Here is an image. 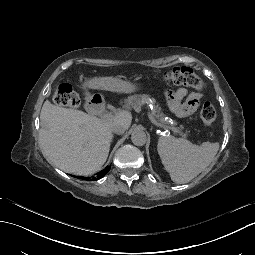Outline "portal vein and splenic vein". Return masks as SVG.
I'll use <instances>...</instances> for the list:
<instances>
[{
    "label": "portal vein and splenic vein",
    "instance_id": "1",
    "mask_svg": "<svg viewBox=\"0 0 255 255\" xmlns=\"http://www.w3.org/2000/svg\"><path fill=\"white\" fill-rule=\"evenodd\" d=\"M125 114V111L123 109H114L112 111H108L103 113L102 115H97V120H106L110 118H114L116 116H123ZM151 119V124H155V127H158V130H168L169 132H174L175 134H178L182 139H185L187 137V134L180 130L178 127H173L172 125H168L167 123H163L160 125V122H156V119L153 117H149Z\"/></svg>",
    "mask_w": 255,
    "mask_h": 255
}]
</instances>
